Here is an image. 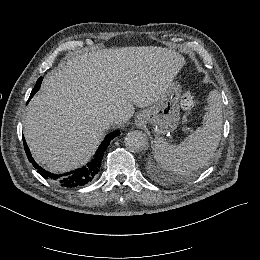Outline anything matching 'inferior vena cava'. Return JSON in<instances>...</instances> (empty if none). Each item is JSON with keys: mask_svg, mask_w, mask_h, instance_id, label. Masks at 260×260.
<instances>
[{"mask_svg": "<svg viewBox=\"0 0 260 260\" xmlns=\"http://www.w3.org/2000/svg\"><path fill=\"white\" fill-rule=\"evenodd\" d=\"M113 123H117V124L119 123L118 115H116L114 113H109L108 115H106V117L104 119V126L109 127Z\"/></svg>", "mask_w": 260, "mask_h": 260, "instance_id": "obj_1", "label": "inferior vena cava"}]
</instances>
